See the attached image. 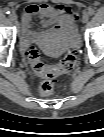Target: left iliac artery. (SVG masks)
Wrapping results in <instances>:
<instances>
[{"instance_id": "44dca946", "label": "left iliac artery", "mask_w": 104, "mask_h": 137, "mask_svg": "<svg viewBox=\"0 0 104 137\" xmlns=\"http://www.w3.org/2000/svg\"><path fill=\"white\" fill-rule=\"evenodd\" d=\"M95 13V10L93 8L88 9V14L93 15Z\"/></svg>"}]
</instances>
